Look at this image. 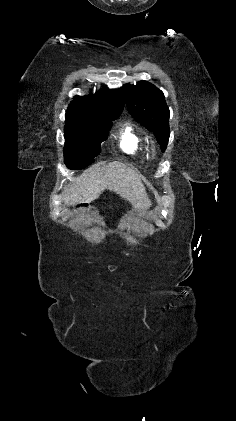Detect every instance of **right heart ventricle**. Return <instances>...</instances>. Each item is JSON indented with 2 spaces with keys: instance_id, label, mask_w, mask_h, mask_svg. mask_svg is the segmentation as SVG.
<instances>
[{
  "instance_id": "right-heart-ventricle-1",
  "label": "right heart ventricle",
  "mask_w": 236,
  "mask_h": 421,
  "mask_svg": "<svg viewBox=\"0 0 236 421\" xmlns=\"http://www.w3.org/2000/svg\"><path fill=\"white\" fill-rule=\"evenodd\" d=\"M119 146L127 154L143 152L146 141L132 123L124 124L119 131Z\"/></svg>"
}]
</instances>
